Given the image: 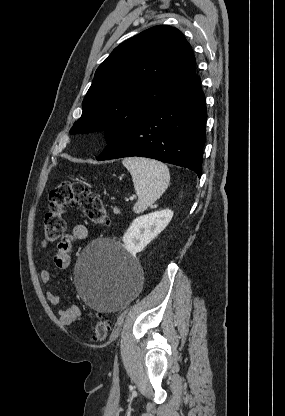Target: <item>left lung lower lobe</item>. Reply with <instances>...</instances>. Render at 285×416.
I'll return each mask as SVG.
<instances>
[{
	"label": "left lung lower lobe",
	"mask_w": 285,
	"mask_h": 416,
	"mask_svg": "<svg viewBox=\"0 0 285 416\" xmlns=\"http://www.w3.org/2000/svg\"><path fill=\"white\" fill-rule=\"evenodd\" d=\"M206 119L205 95L196 75L175 96L113 139L97 160L148 157L184 166L201 177Z\"/></svg>",
	"instance_id": "left-lung-lower-lobe-1"
}]
</instances>
